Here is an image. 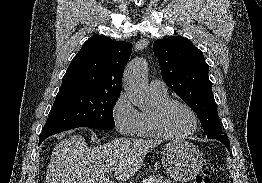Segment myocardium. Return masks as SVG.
<instances>
[{
	"label": "myocardium",
	"instance_id": "myocardium-1",
	"mask_svg": "<svg viewBox=\"0 0 262 183\" xmlns=\"http://www.w3.org/2000/svg\"><path fill=\"white\" fill-rule=\"evenodd\" d=\"M175 104L184 106L192 115L194 120L193 128L183 134H172L164 127V116L167 110ZM151 125L158 137L164 139H185L192 136L199 128V117L195 109L186 101L175 98H168L164 102L157 105L151 112Z\"/></svg>",
	"mask_w": 262,
	"mask_h": 183
}]
</instances>
